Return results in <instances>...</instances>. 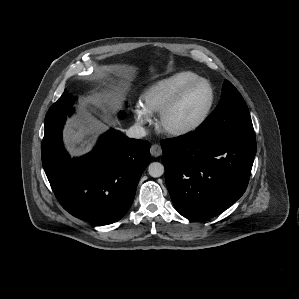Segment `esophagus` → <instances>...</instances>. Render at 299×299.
<instances>
[{
	"label": "esophagus",
	"instance_id": "obj_1",
	"mask_svg": "<svg viewBox=\"0 0 299 299\" xmlns=\"http://www.w3.org/2000/svg\"><path fill=\"white\" fill-rule=\"evenodd\" d=\"M150 153L154 157L160 156L162 154V149H161L160 145L153 144L150 148Z\"/></svg>",
	"mask_w": 299,
	"mask_h": 299
}]
</instances>
